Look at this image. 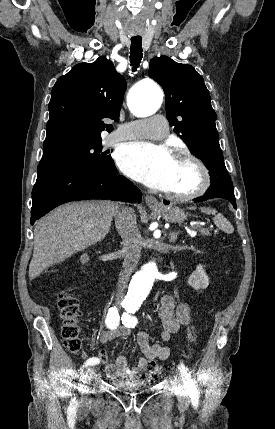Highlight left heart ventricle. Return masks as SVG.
<instances>
[{
	"instance_id": "obj_1",
	"label": "left heart ventricle",
	"mask_w": 275,
	"mask_h": 429,
	"mask_svg": "<svg viewBox=\"0 0 275 429\" xmlns=\"http://www.w3.org/2000/svg\"><path fill=\"white\" fill-rule=\"evenodd\" d=\"M200 182V173L197 167L184 160L175 159L171 180L167 192L188 193L196 189Z\"/></svg>"
}]
</instances>
